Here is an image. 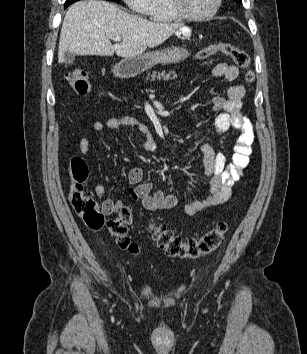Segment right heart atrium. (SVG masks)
Listing matches in <instances>:
<instances>
[{"instance_id": "right-heart-atrium-1", "label": "right heart atrium", "mask_w": 307, "mask_h": 354, "mask_svg": "<svg viewBox=\"0 0 307 354\" xmlns=\"http://www.w3.org/2000/svg\"><path fill=\"white\" fill-rule=\"evenodd\" d=\"M124 2L131 10L146 13L151 0H124Z\"/></svg>"}]
</instances>
